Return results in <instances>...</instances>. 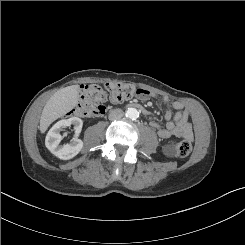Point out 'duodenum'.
Segmentation results:
<instances>
[{
	"label": "duodenum",
	"instance_id": "duodenum-1",
	"mask_svg": "<svg viewBox=\"0 0 245 245\" xmlns=\"http://www.w3.org/2000/svg\"><path fill=\"white\" fill-rule=\"evenodd\" d=\"M130 106L134 107V108H137L138 110H140L145 115L148 114V111L144 107H142L140 104L132 103V104H130Z\"/></svg>",
	"mask_w": 245,
	"mask_h": 245
}]
</instances>
